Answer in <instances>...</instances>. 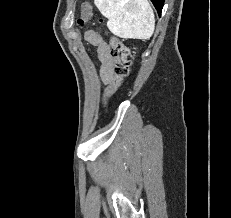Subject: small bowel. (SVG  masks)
I'll return each mask as SVG.
<instances>
[{
  "label": "small bowel",
  "instance_id": "small-bowel-1",
  "mask_svg": "<svg viewBox=\"0 0 231 218\" xmlns=\"http://www.w3.org/2000/svg\"><path fill=\"white\" fill-rule=\"evenodd\" d=\"M85 39L92 45L97 47L98 58L101 62V77L104 84L109 85L114 78L115 60L111 54L109 46L94 31H87Z\"/></svg>",
  "mask_w": 231,
  "mask_h": 218
}]
</instances>
